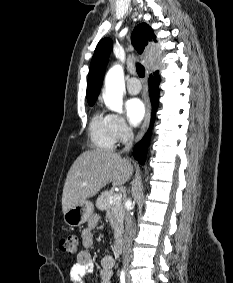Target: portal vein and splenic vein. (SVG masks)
Listing matches in <instances>:
<instances>
[{
    "label": "portal vein and splenic vein",
    "mask_w": 233,
    "mask_h": 283,
    "mask_svg": "<svg viewBox=\"0 0 233 283\" xmlns=\"http://www.w3.org/2000/svg\"><path fill=\"white\" fill-rule=\"evenodd\" d=\"M122 198V194H115L109 198L110 203L120 201Z\"/></svg>",
    "instance_id": "1"
}]
</instances>
